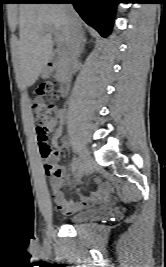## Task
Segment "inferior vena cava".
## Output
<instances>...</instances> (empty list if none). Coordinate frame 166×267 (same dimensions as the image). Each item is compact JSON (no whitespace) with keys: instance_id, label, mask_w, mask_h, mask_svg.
<instances>
[{"instance_id":"obj_1","label":"inferior vena cava","mask_w":166,"mask_h":267,"mask_svg":"<svg viewBox=\"0 0 166 267\" xmlns=\"http://www.w3.org/2000/svg\"><path fill=\"white\" fill-rule=\"evenodd\" d=\"M64 8L69 15L67 47L70 55V61L73 67H75L82 50V30L79 22L73 17L75 12L73 7L70 4H65Z\"/></svg>"}]
</instances>
